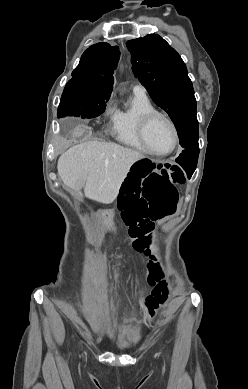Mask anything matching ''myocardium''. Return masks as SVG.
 Segmentation results:
<instances>
[{
	"label": "myocardium",
	"instance_id": "1",
	"mask_svg": "<svg viewBox=\"0 0 248 389\" xmlns=\"http://www.w3.org/2000/svg\"><path fill=\"white\" fill-rule=\"evenodd\" d=\"M156 118L163 119L170 126L171 131H172L173 144H172V147L166 152H156V151L152 150L149 147V144L147 142V137H146L147 129H148L149 125L151 124V122ZM138 136H139V139H140L142 145L144 146L146 152H148L149 154H151L153 156H160V157L167 156V155L171 154L176 149V147L178 145V132H177V128H176L174 122L167 115H165L164 113L159 112L157 110L150 111L141 117V119L139 121V126H138Z\"/></svg>",
	"mask_w": 248,
	"mask_h": 389
}]
</instances>
